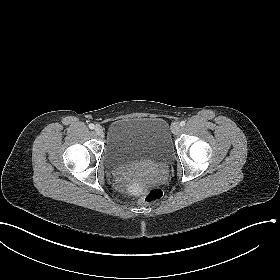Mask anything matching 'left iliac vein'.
<instances>
[{
	"label": "left iliac vein",
	"mask_w": 280,
	"mask_h": 280,
	"mask_svg": "<svg viewBox=\"0 0 280 280\" xmlns=\"http://www.w3.org/2000/svg\"><path fill=\"white\" fill-rule=\"evenodd\" d=\"M180 125L178 123L173 124L171 130L173 134H178L180 131Z\"/></svg>",
	"instance_id": "1"
}]
</instances>
